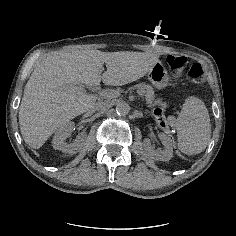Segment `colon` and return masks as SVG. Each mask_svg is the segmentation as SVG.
Listing matches in <instances>:
<instances>
[{
	"label": "colon",
	"instance_id": "obj_1",
	"mask_svg": "<svg viewBox=\"0 0 236 236\" xmlns=\"http://www.w3.org/2000/svg\"><path fill=\"white\" fill-rule=\"evenodd\" d=\"M187 58L184 55L169 54L166 58V63L169 69L180 75L187 65ZM203 67L200 63H193L188 71V78L194 83L203 82ZM153 115L156 119H162L165 116V110L160 103H157L153 110Z\"/></svg>",
	"mask_w": 236,
	"mask_h": 236
}]
</instances>
